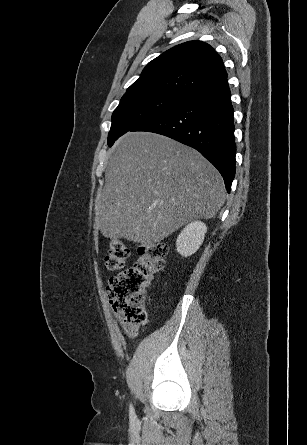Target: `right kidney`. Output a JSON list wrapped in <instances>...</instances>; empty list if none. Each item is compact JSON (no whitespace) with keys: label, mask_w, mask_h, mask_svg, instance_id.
Here are the masks:
<instances>
[{"label":"right kidney","mask_w":307,"mask_h":445,"mask_svg":"<svg viewBox=\"0 0 307 445\" xmlns=\"http://www.w3.org/2000/svg\"><path fill=\"white\" fill-rule=\"evenodd\" d=\"M207 231L206 225L201 223V220H194V223L187 225L183 231H181L177 241L178 253L182 257H190L193 253L198 251L200 245H202Z\"/></svg>","instance_id":"right-kidney-1"}]
</instances>
